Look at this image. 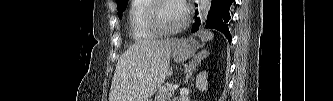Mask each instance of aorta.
Segmentation results:
<instances>
[{"label": "aorta", "instance_id": "aorta-1", "mask_svg": "<svg viewBox=\"0 0 333 101\" xmlns=\"http://www.w3.org/2000/svg\"><path fill=\"white\" fill-rule=\"evenodd\" d=\"M211 6V0H199V16L203 18L207 15Z\"/></svg>", "mask_w": 333, "mask_h": 101}]
</instances>
